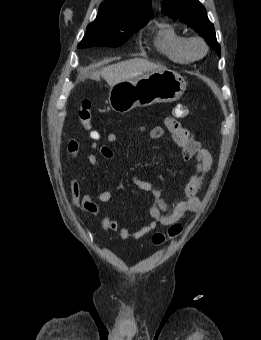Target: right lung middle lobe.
Returning a JSON list of instances; mask_svg holds the SVG:
<instances>
[{
    "label": "right lung middle lobe",
    "mask_w": 261,
    "mask_h": 340,
    "mask_svg": "<svg viewBox=\"0 0 261 340\" xmlns=\"http://www.w3.org/2000/svg\"><path fill=\"white\" fill-rule=\"evenodd\" d=\"M149 20H108L97 16L87 26L86 34L78 48L92 46L117 47L125 43L134 32L144 27Z\"/></svg>",
    "instance_id": "right-lung-middle-lobe-1"
}]
</instances>
